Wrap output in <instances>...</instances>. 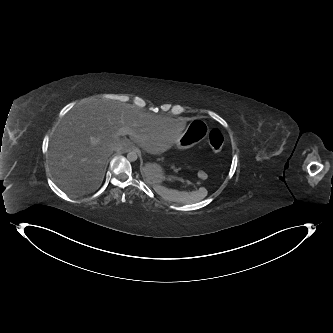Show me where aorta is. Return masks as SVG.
<instances>
[{
	"label": "aorta",
	"mask_w": 333,
	"mask_h": 333,
	"mask_svg": "<svg viewBox=\"0 0 333 333\" xmlns=\"http://www.w3.org/2000/svg\"><path fill=\"white\" fill-rule=\"evenodd\" d=\"M127 159L131 162H134L138 159V155L135 151H129L127 153Z\"/></svg>",
	"instance_id": "aorta-1"
}]
</instances>
